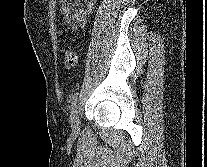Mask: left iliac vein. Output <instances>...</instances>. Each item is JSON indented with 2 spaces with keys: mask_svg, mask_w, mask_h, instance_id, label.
<instances>
[{
  "mask_svg": "<svg viewBox=\"0 0 207 167\" xmlns=\"http://www.w3.org/2000/svg\"><path fill=\"white\" fill-rule=\"evenodd\" d=\"M70 120L73 133H78L80 130V121L77 107L72 109Z\"/></svg>",
  "mask_w": 207,
  "mask_h": 167,
  "instance_id": "4c4485c4",
  "label": "left iliac vein"
}]
</instances>
